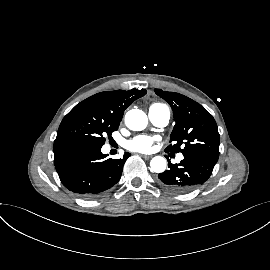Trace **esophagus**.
<instances>
[{
    "label": "esophagus",
    "instance_id": "1",
    "mask_svg": "<svg viewBox=\"0 0 270 270\" xmlns=\"http://www.w3.org/2000/svg\"><path fill=\"white\" fill-rule=\"evenodd\" d=\"M144 159H150L152 156L151 155H141Z\"/></svg>",
    "mask_w": 270,
    "mask_h": 270
}]
</instances>
